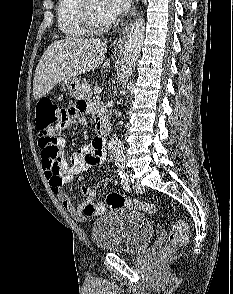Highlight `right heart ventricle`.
Listing matches in <instances>:
<instances>
[{
	"instance_id": "obj_1",
	"label": "right heart ventricle",
	"mask_w": 233,
	"mask_h": 294,
	"mask_svg": "<svg viewBox=\"0 0 233 294\" xmlns=\"http://www.w3.org/2000/svg\"><path fill=\"white\" fill-rule=\"evenodd\" d=\"M82 2V0H59L58 2V27L67 38L81 39L90 35L80 15Z\"/></svg>"
}]
</instances>
